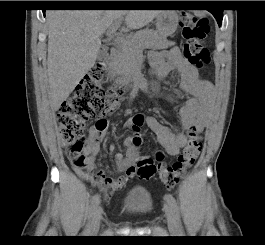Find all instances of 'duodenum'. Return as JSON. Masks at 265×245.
<instances>
[{
    "mask_svg": "<svg viewBox=\"0 0 265 245\" xmlns=\"http://www.w3.org/2000/svg\"><path fill=\"white\" fill-rule=\"evenodd\" d=\"M116 57H117V54H116V50L113 49L109 54L108 56L106 57L105 59V66L107 68L108 71H112L113 69V66H114V62L116 60ZM115 86L117 88H124L126 86V83L125 82H116Z\"/></svg>",
    "mask_w": 265,
    "mask_h": 245,
    "instance_id": "obj_1",
    "label": "duodenum"
}]
</instances>
